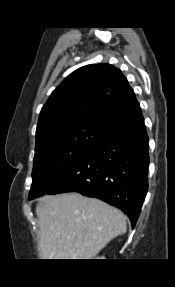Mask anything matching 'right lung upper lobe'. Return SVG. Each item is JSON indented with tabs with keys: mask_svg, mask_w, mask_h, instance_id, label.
<instances>
[{
	"mask_svg": "<svg viewBox=\"0 0 175 287\" xmlns=\"http://www.w3.org/2000/svg\"><path fill=\"white\" fill-rule=\"evenodd\" d=\"M140 110L119 69L110 64L87 65L71 73L52 92L40 112L36 138L65 124L100 122L113 126Z\"/></svg>",
	"mask_w": 175,
	"mask_h": 287,
	"instance_id": "right-lung-upper-lobe-1",
	"label": "right lung upper lobe"
}]
</instances>
